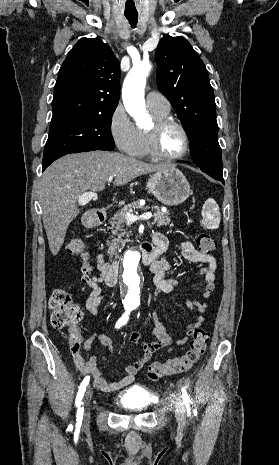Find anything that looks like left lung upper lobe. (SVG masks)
<instances>
[{"mask_svg":"<svg viewBox=\"0 0 279 465\" xmlns=\"http://www.w3.org/2000/svg\"><path fill=\"white\" fill-rule=\"evenodd\" d=\"M155 57L158 89L188 134L194 163L211 177L222 180L214 92L203 61L181 36L162 38Z\"/></svg>","mask_w":279,"mask_h":465,"instance_id":"obj_1","label":"left lung upper lobe"}]
</instances>
